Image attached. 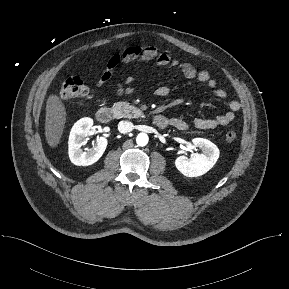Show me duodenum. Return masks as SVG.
<instances>
[{
    "instance_id": "410a0bca",
    "label": "duodenum",
    "mask_w": 289,
    "mask_h": 289,
    "mask_svg": "<svg viewBox=\"0 0 289 289\" xmlns=\"http://www.w3.org/2000/svg\"><path fill=\"white\" fill-rule=\"evenodd\" d=\"M114 110L110 107H101L98 109L96 113V118L100 123L107 124L114 118ZM153 123L161 128L164 129L170 124L169 118L164 115L157 114L152 118Z\"/></svg>"
}]
</instances>
